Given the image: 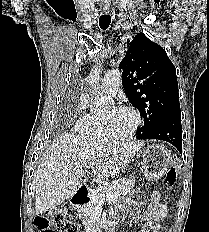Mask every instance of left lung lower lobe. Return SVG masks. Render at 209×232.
<instances>
[{
  "mask_svg": "<svg viewBox=\"0 0 209 232\" xmlns=\"http://www.w3.org/2000/svg\"><path fill=\"white\" fill-rule=\"evenodd\" d=\"M137 139H156L171 143L182 154V128L181 117L175 115L162 121L147 134H137Z\"/></svg>",
  "mask_w": 209,
  "mask_h": 232,
  "instance_id": "left-lung-lower-lobe-1",
  "label": "left lung lower lobe"
}]
</instances>
